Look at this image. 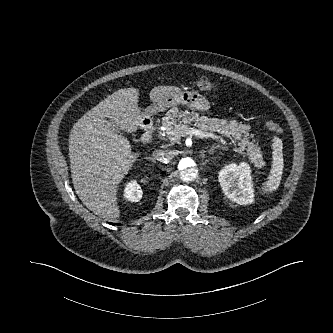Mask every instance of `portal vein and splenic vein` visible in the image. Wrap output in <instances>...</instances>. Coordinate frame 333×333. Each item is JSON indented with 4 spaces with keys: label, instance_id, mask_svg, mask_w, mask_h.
Instances as JSON below:
<instances>
[{
    "label": "portal vein and splenic vein",
    "instance_id": "1",
    "mask_svg": "<svg viewBox=\"0 0 333 333\" xmlns=\"http://www.w3.org/2000/svg\"><path fill=\"white\" fill-rule=\"evenodd\" d=\"M188 135L189 136H196L198 138H211L213 140H217L219 139L220 137L218 135H215L214 133H211V132H205V131H202V130H199V129H196V128H192L189 132H188ZM221 142L222 144L226 145V141L221 139Z\"/></svg>",
    "mask_w": 333,
    "mask_h": 333
}]
</instances>
